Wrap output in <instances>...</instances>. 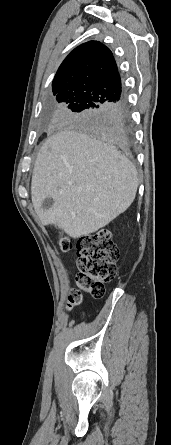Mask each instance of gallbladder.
Here are the masks:
<instances>
[{
	"label": "gallbladder",
	"mask_w": 171,
	"mask_h": 445,
	"mask_svg": "<svg viewBox=\"0 0 171 445\" xmlns=\"http://www.w3.org/2000/svg\"><path fill=\"white\" fill-rule=\"evenodd\" d=\"M54 200L52 198H45L42 202V209L43 210H48L51 208V206L53 205Z\"/></svg>",
	"instance_id": "gallbladder-1"
}]
</instances>
